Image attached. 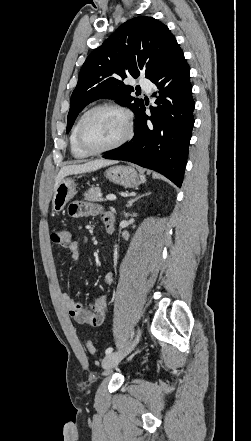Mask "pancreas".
I'll use <instances>...</instances> for the list:
<instances>
[{"instance_id": "cf45deb5", "label": "pancreas", "mask_w": 251, "mask_h": 441, "mask_svg": "<svg viewBox=\"0 0 251 441\" xmlns=\"http://www.w3.org/2000/svg\"><path fill=\"white\" fill-rule=\"evenodd\" d=\"M101 190L99 187H92L87 192L84 193L85 200L91 202H101L104 199L100 196Z\"/></svg>"}]
</instances>
